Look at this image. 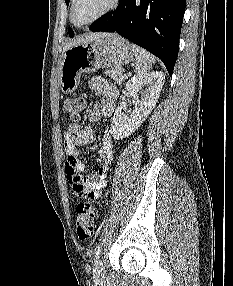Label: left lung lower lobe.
I'll use <instances>...</instances> for the list:
<instances>
[{"instance_id": "left-lung-lower-lobe-1", "label": "left lung lower lobe", "mask_w": 233, "mask_h": 286, "mask_svg": "<svg viewBox=\"0 0 233 286\" xmlns=\"http://www.w3.org/2000/svg\"><path fill=\"white\" fill-rule=\"evenodd\" d=\"M186 0H119L113 13L97 19L90 30L116 31L165 64L172 76Z\"/></svg>"}]
</instances>
